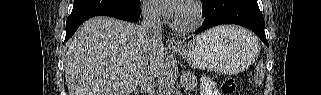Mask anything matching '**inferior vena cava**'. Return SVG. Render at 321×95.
Segmentation results:
<instances>
[{"label":"inferior vena cava","instance_id":"inferior-vena-cava-1","mask_svg":"<svg viewBox=\"0 0 321 95\" xmlns=\"http://www.w3.org/2000/svg\"><path fill=\"white\" fill-rule=\"evenodd\" d=\"M142 23L141 31L144 41L156 48L158 45H162V26L158 13L150 6L144 5L142 7ZM154 74L152 68H145L139 77V86L142 91L153 94L154 91Z\"/></svg>","mask_w":321,"mask_h":95}]
</instances>
